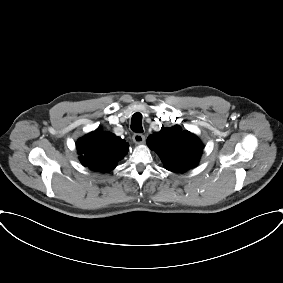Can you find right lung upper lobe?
<instances>
[{
	"label": "right lung upper lobe",
	"instance_id": "1",
	"mask_svg": "<svg viewBox=\"0 0 283 283\" xmlns=\"http://www.w3.org/2000/svg\"><path fill=\"white\" fill-rule=\"evenodd\" d=\"M129 144L111 132L97 129L77 142L84 166L95 171L108 172L114 169L117 162L128 152Z\"/></svg>",
	"mask_w": 283,
	"mask_h": 283
}]
</instances>
